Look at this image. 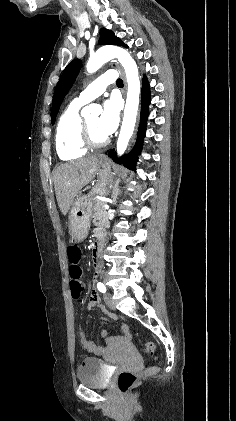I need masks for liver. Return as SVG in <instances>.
<instances>
[{
    "label": "liver",
    "mask_w": 236,
    "mask_h": 421,
    "mask_svg": "<svg viewBox=\"0 0 236 421\" xmlns=\"http://www.w3.org/2000/svg\"><path fill=\"white\" fill-rule=\"evenodd\" d=\"M97 168V156L78 158L75 162H65L54 168L55 194L62 215H67L76 194L94 178Z\"/></svg>",
    "instance_id": "1"
}]
</instances>
